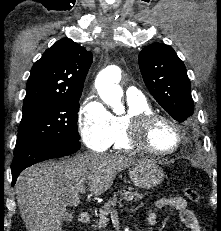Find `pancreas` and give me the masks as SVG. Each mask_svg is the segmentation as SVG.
<instances>
[{"label":"pancreas","mask_w":221,"mask_h":231,"mask_svg":"<svg viewBox=\"0 0 221 231\" xmlns=\"http://www.w3.org/2000/svg\"><path fill=\"white\" fill-rule=\"evenodd\" d=\"M141 198H143V194L138 191H133V188L131 187H129L128 190L118 191L117 194H115L114 197L105 203L104 206L99 210L98 228H105L107 226V216L117 203H120L121 201L129 203L133 200L138 201Z\"/></svg>","instance_id":"obj_1"}]
</instances>
